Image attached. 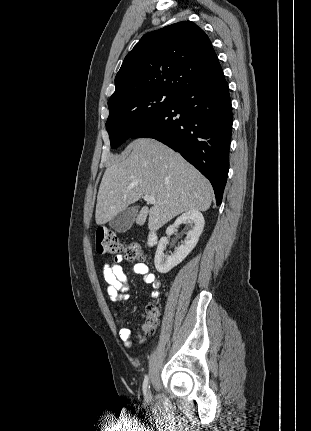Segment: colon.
I'll list each match as a JSON object with an SVG mask.
<instances>
[{"label":"colon","mask_w":311,"mask_h":431,"mask_svg":"<svg viewBox=\"0 0 311 431\" xmlns=\"http://www.w3.org/2000/svg\"><path fill=\"white\" fill-rule=\"evenodd\" d=\"M95 249L99 254L122 252L130 260L139 259L143 255L141 247L137 243H131L124 247L117 235L108 228H99L96 231ZM160 315V309L156 304L152 303L147 306L145 319L141 326L144 336L152 335L155 332Z\"/></svg>","instance_id":"colon-1"}]
</instances>
